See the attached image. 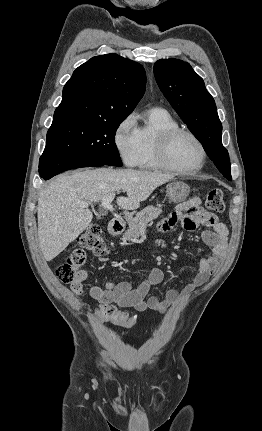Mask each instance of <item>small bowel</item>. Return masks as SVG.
<instances>
[{
    "label": "small bowel",
    "instance_id": "c3829d8e",
    "mask_svg": "<svg viewBox=\"0 0 262 431\" xmlns=\"http://www.w3.org/2000/svg\"><path fill=\"white\" fill-rule=\"evenodd\" d=\"M202 205V198L194 197L169 211L159 225L160 230L164 232L172 229L179 221L187 230L196 229L198 226L211 229L204 232L203 239L212 248V255L200 259L196 273L189 283L181 290L169 291L165 301L150 294L151 287L163 278V272L160 269L153 270L149 277L137 286L126 281H108L104 288L90 285L89 295L98 302L99 314L107 315L109 312L121 308H133L137 311L150 309L165 314L169 307H175L186 300L196 288L203 285L210 275L221 267L228 252V229L216 215L205 210ZM190 208L194 210L193 214L181 215L183 210ZM71 291L75 295H81L83 288L81 285H73Z\"/></svg>",
    "mask_w": 262,
    "mask_h": 431
}]
</instances>
